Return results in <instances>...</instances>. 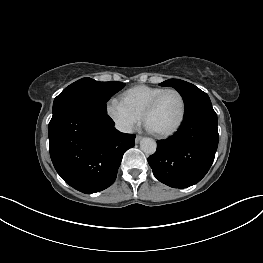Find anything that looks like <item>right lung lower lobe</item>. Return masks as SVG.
<instances>
[{
    "instance_id": "right-lung-lower-lobe-1",
    "label": "right lung lower lobe",
    "mask_w": 263,
    "mask_h": 263,
    "mask_svg": "<svg viewBox=\"0 0 263 263\" xmlns=\"http://www.w3.org/2000/svg\"><path fill=\"white\" fill-rule=\"evenodd\" d=\"M50 157L61 178L91 194L113 184L123 154L135 135L121 133L107 113L69 108L52 116L48 128Z\"/></svg>"
}]
</instances>
